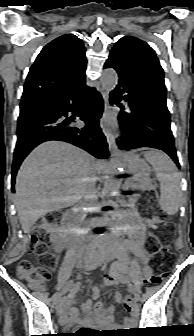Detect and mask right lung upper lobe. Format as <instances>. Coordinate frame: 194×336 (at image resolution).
Wrapping results in <instances>:
<instances>
[{
  "label": "right lung upper lobe",
  "instance_id": "obj_1",
  "mask_svg": "<svg viewBox=\"0 0 194 336\" xmlns=\"http://www.w3.org/2000/svg\"><path fill=\"white\" fill-rule=\"evenodd\" d=\"M85 48L73 34L47 44L30 68L20 108L65 92L85 78Z\"/></svg>",
  "mask_w": 194,
  "mask_h": 336
}]
</instances>
